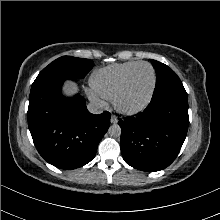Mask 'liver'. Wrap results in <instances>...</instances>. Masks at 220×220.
Returning <instances> with one entry per match:
<instances>
[{
    "instance_id": "1",
    "label": "liver",
    "mask_w": 220,
    "mask_h": 220,
    "mask_svg": "<svg viewBox=\"0 0 220 220\" xmlns=\"http://www.w3.org/2000/svg\"><path fill=\"white\" fill-rule=\"evenodd\" d=\"M77 91V87L72 82H66L63 88V93L66 96H72Z\"/></svg>"
}]
</instances>
